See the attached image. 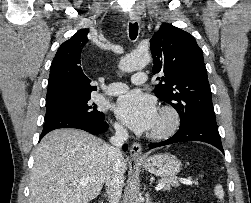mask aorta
I'll use <instances>...</instances> for the list:
<instances>
[{"label": "aorta", "instance_id": "aorta-1", "mask_svg": "<svg viewBox=\"0 0 251 203\" xmlns=\"http://www.w3.org/2000/svg\"><path fill=\"white\" fill-rule=\"evenodd\" d=\"M149 62V52L145 50H137L120 61L119 69L123 72H132L144 68ZM135 203H139V201L136 200Z\"/></svg>", "mask_w": 251, "mask_h": 203}]
</instances>
